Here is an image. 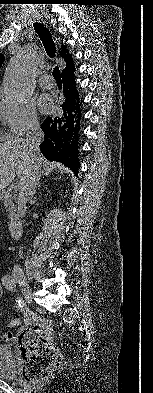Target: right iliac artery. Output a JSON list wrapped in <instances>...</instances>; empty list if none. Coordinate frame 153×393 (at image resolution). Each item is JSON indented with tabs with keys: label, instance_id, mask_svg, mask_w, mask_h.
Returning <instances> with one entry per match:
<instances>
[{
	"label": "right iliac artery",
	"instance_id": "1",
	"mask_svg": "<svg viewBox=\"0 0 153 393\" xmlns=\"http://www.w3.org/2000/svg\"><path fill=\"white\" fill-rule=\"evenodd\" d=\"M2 284L5 286V288L6 289H8L9 291H13V290H15L14 289V287H15V279L12 277V276H10V275H5L3 278H2ZM18 303H19V307H23L21 304L23 303V301H21V299H20V297H19V300H18Z\"/></svg>",
	"mask_w": 153,
	"mask_h": 393
}]
</instances>
